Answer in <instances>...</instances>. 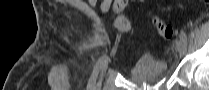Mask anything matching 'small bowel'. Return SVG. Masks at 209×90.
I'll list each match as a JSON object with an SVG mask.
<instances>
[{"label":"small bowel","mask_w":209,"mask_h":90,"mask_svg":"<svg viewBox=\"0 0 209 90\" xmlns=\"http://www.w3.org/2000/svg\"><path fill=\"white\" fill-rule=\"evenodd\" d=\"M95 3H96L95 0H89V4H90L91 6H94ZM110 5H111V1H110V0H105V1H103V2L101 3V6H100L101 11H102V12H107V11L109 10V8H110Z\"/></svg>","instance_id":"obj_1"}]
</instances>
